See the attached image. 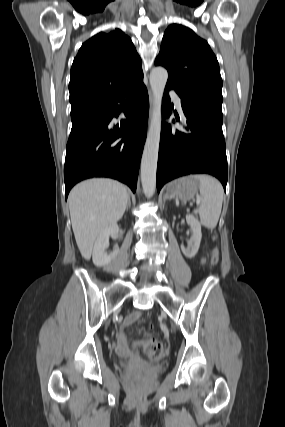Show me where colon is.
Segmentation results:
<instances>
[{
	"instance_id": "1",
	"label": "colon",
	"mask_w": 285,
	"mask_h": 427,
	"mask_svg": "<svg viewBox=\"0 0 285 427\" xmlns=\"http://www.w3.org/2000/svg\"><path fill=\"white\" fill-rule=\"evenodd\" d=\"M218 261H219V252L217 249H214L211 255V264L216 265ZM137 345L143 348V350L151 359L161 358L164 352L163 344L154 338H146V339L140 340L137 342ZM140 378L141 376L139 374L135 376V379L137 381H139Z\"/></svg>"
}]
</instances>
